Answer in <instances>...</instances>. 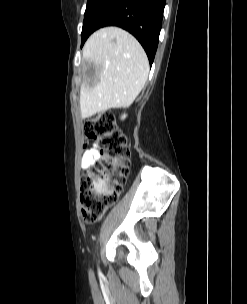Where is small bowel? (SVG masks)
I'll return each instance as SVG.
<instances>
[{
  "instance_id": "1",
  "label": "small bowel",
  "mask_w": 247,
  "mask_h": 304,
  "mask_svg": "<svg viewBox=\"0 0 247 304\" xmlns=\"http://www.w3.org/2000/svg\"><path fill=\"white\" fill-rule=\"evenodd\" d=\"M100 159V153L97 147L93 146L87 149L82 157V171L90 169Z\"/></svg>"
}]
</instances>
